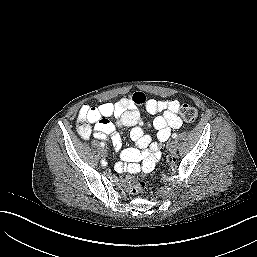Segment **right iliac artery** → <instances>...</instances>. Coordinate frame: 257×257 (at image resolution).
<instances>
[{
  "mask_svg": "<svg viewBox=\"0 0 257 257\" xmlns=\"http://www.w3.org/2000/svg\"><path fill=\"white\" fill-rule=\"evenodd\" d=\"M100 145H101V147L105 146L104 142H100ZM102 164H105V162L103 161Z\"/></svg>",
  "mask_w": 257,
  "mask_h": 257,
  "instance_id": "1",
  "label": "right iliac artery"
}]
</instances>
